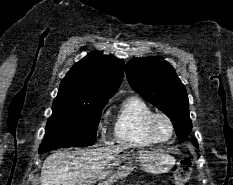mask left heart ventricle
Segmentation results:
<instances>
[{"label": "left heart ventricle", "mask_w": 233, "mask_h": 185, "mask_svg": "<svg viewBox=\"0 0 233 185\" xmlns=\"http://www.w3.org/2000/svg\"><path fill=\"white\" fill-rule=\"evenodd\" d=\"M155 130L159 137L168 138L170 136V127L166 120L158 118L155 123Z\"/></svg>", "instance_id": "left-heart-ventricle-1"}]
</instances>
